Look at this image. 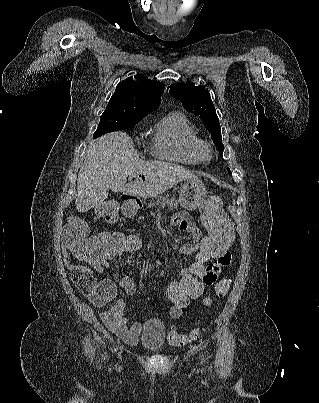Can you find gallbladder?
<instances>
[{
	"instance_id": "obj_1",
	"label": "gallbladder",
	"mask_w": 319,
	"mask_h": 403,
	"mask_svg": "<svg viewBox=\"0 0 319 403\" xmlns=\"http://www.w3.org/2000/svg\"><path fill=\"white\" fill-rule=\"evenodd\" d=\"M103 206L106 207L107 210L114 211V212H117L119 209L118 203L116 201H112V200L108 201L107 203H104Z\"/></svg>"
}]
</instances>
